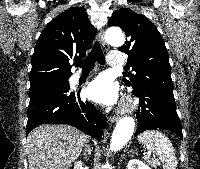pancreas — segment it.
Wrapping results in <instances>:
<instances>
[{
	"label": "pancreas",
	"instance_id": "cf45deb5",
	"mask_svg": "<svg viewBox=\"0 0 200 169\" xmlns=\"http://www.w3.org/2000/svg\"><path fill=\"white\" fill-rule=\"evenodd\" d=\"M147 162L151 165V166H153L154 168H157V166H158V161L157 160H155V159H147Z\"/></svg>",
	"mask_w": 200,
	"mask_h": 169
}]
</instances>
